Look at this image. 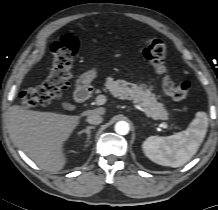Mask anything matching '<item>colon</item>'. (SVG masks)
<instances>
[{"label":"colon","mask_w":218,"mask_h":210,"mask_svg":"<svg viewBox=\"0 0 218 210\" xmlns=\"http://www.w3.org/2000/svg\"><path fill=\"white\" fill-rule=\"evenodd\" d=\"M78 39L73 35L63 36L56 42L54 64L49 75L37 86L22 92V101L30 106L45 105L59 98L69 86L74 56L78 51ZM143 57L161 77L165 94L176 101L186 100L190 95V83L185 81L176 84L167 74L165 66L166 46L157 37H150L143 49Z\"/></svg>","instance_id":"5ec220e1"}]
</instances>
